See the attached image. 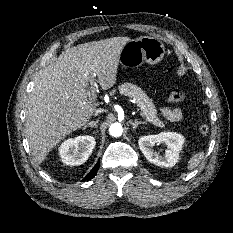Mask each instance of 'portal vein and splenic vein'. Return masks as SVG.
<instances>
[{
	"label": "portal vein and splenic vein",
	"mask_w": 233,
	"mask_h": 233,
	"mask_svg": "<svg viewBox=\"0 0 233 233\" xmlns=\"http://www.w3.org/2000/svg\"><path fill=\"white\" fill-rule=\"evenodd\" d=\"M89 81H90L91 89H90L88 95H89V98L91 100H95L96 83H95V75L94 74L89 76Z\"/></svg>",
	"instance_id": "18ae733b"
}]
</instances>
